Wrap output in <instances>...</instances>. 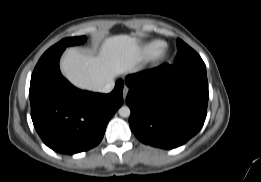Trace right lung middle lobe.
<instances>
[{
  "label": "right lung middle lobe",
  "instance_id": "obj_1",
  "mask_svg": "<svg viewBox=\"0 0 261 182\" xmlns=\"http://www.w3.org/2000/svg\"><path fill=\"white\" fill-rule=\"evenodd\" d=\"M85 41H86L85 36L65 38V39L61 40L60 42H58L57 44H55L54 46H52L47 51L57 50V49H61V48L65 49L67 46L80 45V44L84 43Z\"/></svg>",
  "mask_w": 261,
  "mask_h": 182
}]
</instances>
